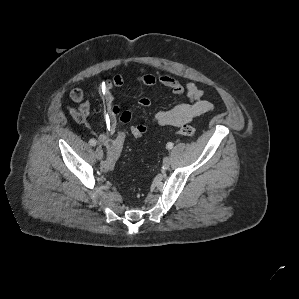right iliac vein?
Wrapping results in <instances>:
<instances>
[{
  "label": "right iliac vein",
  "instance_id": "1",
  "mask_svg": "<svg viewBox=\"0 0 299 299\" xmlns=\"http://www.w3.org/2000/svg\"><path fill=\"white\" fill-rule=\"evenodd\" d=\"M95 155L98 160H101L103 158V151L100 147L96 148Z\"/></svg>",
  "mask_w": 299,
  "mask_h": 299
}]
</instances>
